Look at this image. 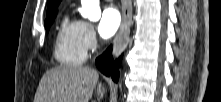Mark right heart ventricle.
<instances>
[{
    "mask_svg": "<svg viewBox=\"0 0 221 102\" xmlns=\"http://www.w3.org/2000/svg\"><path fill=\"white\" fill-rule=\"evenodd\" d=\"M81 32L80 21L64 16L55 35L54 57L62 65L78 66L86 60Z\"/></svg>",
    "mask_w": 221,
    "mask_h": 102,
    "instance_id": "right-heart-ventricle-1",
    "label": "right heart ventricle"
}]
</instances>
